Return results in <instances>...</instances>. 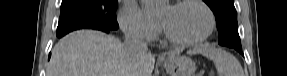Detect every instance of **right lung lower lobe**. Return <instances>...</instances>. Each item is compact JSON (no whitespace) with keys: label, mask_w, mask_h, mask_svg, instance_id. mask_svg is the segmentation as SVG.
<instances>
[{"label":"right lung lower lobe","mask_w":287,"mask_h":76,"mask_svg":"<svg viewBox=\"0 0 287 76\" xmlns=\"http://www.w3.org/2000/svg\"><path fill=\"white\" fill-rule=\"evenodd\" d=\"M92 29L101 30V31H104V32H107V33H109L110 31L116 30V29H109V28H104V27H94ZM49 58H50V55H49Z\"/></svg>","instance_id":"98d812e1"}]
</instances>
